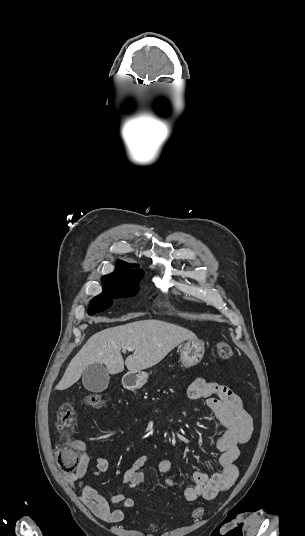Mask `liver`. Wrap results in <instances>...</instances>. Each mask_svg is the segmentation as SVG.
Here are the masks:
<instances>
[{"instance_id": "liver-1", "label": "liver", "mask_w": 305, "mask_h": 536, "mask_svg": "<svg viewBox=\"0 0 305 536\" xmlns=\"http://www.w3.org/2000/svg\"><path fill=\"white\" fill-rule=\"evenodd\" d=\"M185 340H196V336L186 328L160 320H141L126 326L107 328L89 338L67 366L55 390H67L76 384L85 368L91 364H104L108 374H120L124 370V364L129 372L147 370L159 364L171 350ZM124 346L134 348L133 354L128 356L125 362L121 354Z\"/></svg>"}]
</instances>
